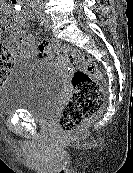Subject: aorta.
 <instances>
[{"instance_id":"aorta-1","label":"aorta","mask_w":133,"mask_h":173,"mask_svg":"<svg viewBox=\"0 0 133 173\" xmlns=\"http://www.w3.org/2000/svg\"><path fill=\"white\" fill-rule=\"evenodd\" d=\"M31 1H34V2H41L42 0H31Z\"/></svg>"}]
</instances>
